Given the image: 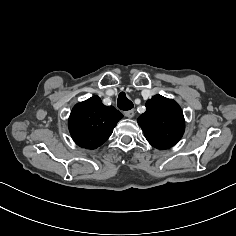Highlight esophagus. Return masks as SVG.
<instances>
[{
  "instance_id": "1",
  "label": "esophagus",
  "mask_w": 236,
  "mask_h": 236,
  "mask_svg": "<svg viewBox=\"0 0 236 236\" xmlns=\"http://www.w3.org/2000/svg\"><path fill=\"white\" fill-rule=\"evenodd\" d=\"M134 110H128L124 112V115L128 118H132L134 116Z\"/></svg>"
}]
</instances>
